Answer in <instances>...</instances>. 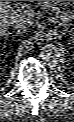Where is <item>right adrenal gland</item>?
Wrapping results in <instances>:
<instances>
[{
    "instance_id": "right-adrenal-gland-1",
    "label": "right adrenal gland",
    "mask_w": 74,
    "mask_h": 122,
    "mask_svg": "<svg viewBox=\"0 0 74 122\" xmlns=\"http://www.w3.org/2000/svg\"><path fill=\"white\" fill-rule=\"evenodd\" d=\"M11 34H13V35H15V36H18V35H20V34H22L20 31H12V32H8V33H5V36H9V35H11Z\"/></svg>"
}]
</instances>
